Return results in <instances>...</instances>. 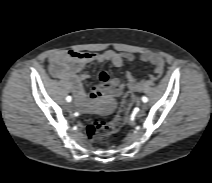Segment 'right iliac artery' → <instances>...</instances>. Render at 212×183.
Instances as JSON below:
<instances>
[{
  "mask_svg": "<svg viewBox=\"0 0 212 183\" xmlns=\"http://www.w3.org/2000/svg\"><path fill=\"white\" fill-rule=\"evenodd\" d=\"M71 100H72L71 96H67V97H66V101H67V102H70Z\"/></svg>",
  "mask_w": 212,
  "mask_h": 183,
  "instance_id": "obj_1",
  "label": "right iliac artery"
}]
</instances>
